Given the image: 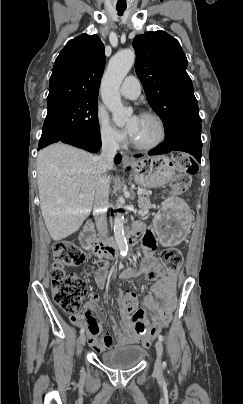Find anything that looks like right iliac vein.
I'll list each match as a JSON object with an SVG mask.
<instances>
[{
	"label": "right iliac vein",
	"instance_id": "obj_1",
	"mask_svg": "<svg viewBox=\"0 0 243 404\" xmlns=\"http://www.w3.org/2000/svg\"><path fill=\"white\" fill-rule=\"evenodd\" d=\"M85 341H86V336L84 334H82L79 338V342L81 345H84Z\"/></svg>",
	"mask_w": 243,
	"mask_h": 404
}]
</instances>
